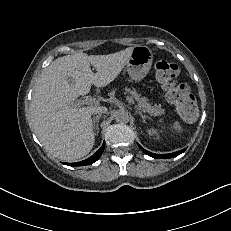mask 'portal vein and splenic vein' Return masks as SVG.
<instances>
[{
    "mask_svg": "<svg viewBox=\"0 0 231 231\" xmlns=\"http://www.w3.org/2000/svg\"><path fill=\"white\" fill-rule=\"evenodd\" d=\"M126 99L130 104H132V105L135 104L134 100L131 97L126 96ZM98 102L99 101L96 98L91 97V96H87L84 100H80V101L76 102L75 105H77V106H80V105H83V104L97 105Z\"/></svg>",
    "mask_w": 231,
    "mask_h": 231,
    "instance_id": "portal-vein-and-splenic-vein-1",
    "label": "portal vein and splenic vein"
}]
</instances>
